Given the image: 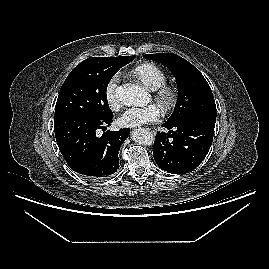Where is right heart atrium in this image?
<instances>
[{
	"label": "right heart atrium",
	"instance_id": "right-heart-atrium-1",
	"mask_svg": "<svg viewBox=\"0 0 269 269\" xmlns=\"http://www.w3.org/2000/svg\"><path fill=\"white\" fill-rule=\"evenodd\" d=\"M120 82V74H113L107 81L104 89V96L107 105L113 111H116L120 108L121 102L117 94L118 84Z\"/></svg>",
	"mask_w": 269,
	"mask_h": 269
}]
</instances>
